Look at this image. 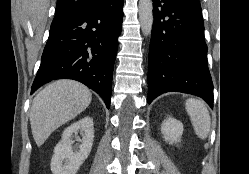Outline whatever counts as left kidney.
Returning <instances> with one entry per match:
<instances>
[{
  "instance_id": "1",
  "label": "left kidney",
  "mask_w": 249,
  "mask_h": 174,
  "mask_svg": "<svg viewBox=\"0 0 249 174\" xmlns=\"http://www.w3.org/2000/svg\"><path fill=\"white\" fill-rule=\"evenodd\" d=\"M161 133L164 140L169 142V144L177 143L181 139L183 125L180 121L167 117L161 125Z\"/></svg>"
}]
</instances>
